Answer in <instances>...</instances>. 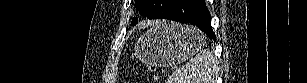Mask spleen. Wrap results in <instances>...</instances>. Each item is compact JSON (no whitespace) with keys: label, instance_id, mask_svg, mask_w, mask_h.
<instances>
[{"label":"spleen","instance_id":"spleen-1","mask_svg":"<svg viewBox=\"0 0 307 83\" xmlns=\"http://www.w3.org/2000/svg\"><path fill=\"white\" fill-rule=\"evenodd\" d=\"M217 75V59L205 49L177 68L166 83H215Z\"/></svg>","mask_w":307,"mask_h":83}]
</instances>
